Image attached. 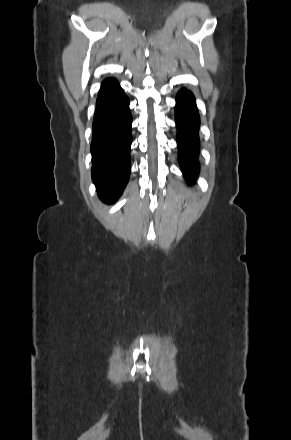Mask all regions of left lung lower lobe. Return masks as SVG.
Here are the masks:
<instances>
[{"label": "left lung lower lobe", "mask_w": 291, "mask_h": 440, "mask_svg": "<svg viewBox=\"0 0 291 440\" xmlns=\"http://www.w3.org/2000/svg\"><path fill=\"white\" fill-rule=\"evenodd\" d=\"M176 124L179 162L188 180L198 173L197 150L199 144V114L193 94L182 89L176 97Z\"/></svg>", "instance_id": "0a47b994"}]
</instances>
